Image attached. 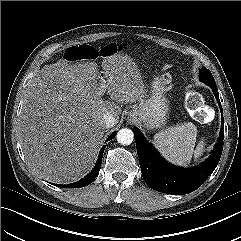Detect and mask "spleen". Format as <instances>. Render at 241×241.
<instances>
[{
    "instance_id": "spleen-1",
    "label": "spleen",
    "mask_w": 241,
    "mask_h": 241,
    "mask_svg": "<svg viewBox=\"0 0 241 241\" xmlns=\"http://www.w3.org/2000/svg\"><path fill=\"white\" fill-rule=\"evenodd\" d=\"M196 126L191 123L178 124L160 131L154 136V145L160 154L168 162L186 167L192 157L199 158L203 152L205 143L199 141L196 148Z\"/></svg>"
}]
</instances>
